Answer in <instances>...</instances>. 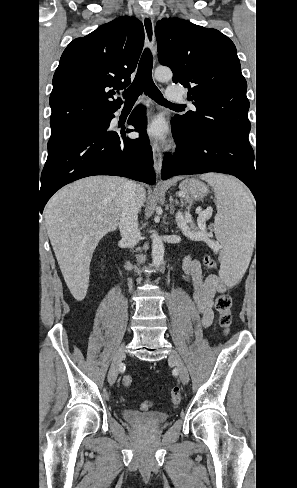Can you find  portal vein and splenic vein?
Instances as JSON below:
<instances>
[{
    "instance_id": "18ae733b",
    "label": "portal vein and splenic vein",
    "mask_w": 297,
    "mask_h": 488,
    "mask_svg": "<svg viewBox=\"0 0 297 488\" xmlns=\"http://www.w3.org/2000/svg\"><path fill=\"white\" fill-rule=\"evenodd\" d=\"M211 212H212V208L210 207L207 208L205 211H201L200 209L198 210V221L201 223L202 229H204L205 227L204 221L206 220V218H208L211 215ZM181 221L184 224L192 222V217L189 210L184 215H181Z\"/></svg>"
}]
</instances>
